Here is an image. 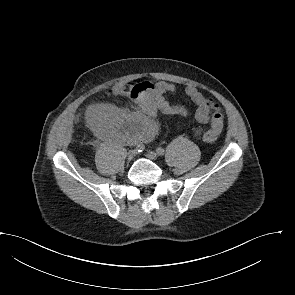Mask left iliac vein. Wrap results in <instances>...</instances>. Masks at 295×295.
Instances as JSON below:
<instances>
[{
  "instance_id": "1",
  "label": "left iliac vein",
  "mask_w": 295,
  "mask_h": 295,
  "mask_svg": "<svg viewBox=\"0 0 295 295\" xmlns=\"http://www.w3.org/2000/svg\"><path fill=\"white\" fill-rule=\"evenodd\" d=\"M146 157H147L148 159L154 161V160L157 159V154H156L155 152H153V151H148V152L146 153Z\"/></svg>"
}]
</instances>
